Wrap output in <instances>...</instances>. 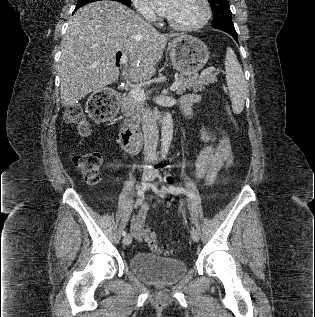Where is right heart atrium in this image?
Wrapping results in <instances>:
<instances>
[{"mask_svg":"<svg viewBox=\"0 0 315 317\" xmlns=\"http://www.w3.org/2000/svg\"><path fill=\"white\" fill-rule=\"evenodd\" d=\"M136 11L148 20H155L156 14L149 0H132Z\"/></svg>","mask_w":315,"mask_h":317,"instance_id":"obj_1","label":"right heart atrium"}]
</instances>
